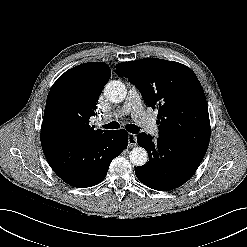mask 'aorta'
Instances as JSON below:
<instances>
[{
  "label": "aorta",
  "mask_w": 247,
  "mask_h": 247,
  "mask_svg": "<svg viewBox=\"0 0 247 247\" xmlns=\"http://www.w3.org/2000/svg\"><path fill=\"white\" fill-rule=\"evenodd\" d=\"M104 94L113 103L122 102L127 94L126 86L121 81H109L105 85ZM129 159L135 166H143L148 161V153L142 147H134L129 153Z\"/></svg>",
  "instance_id": "1"
}]
</instances>
